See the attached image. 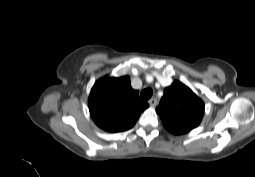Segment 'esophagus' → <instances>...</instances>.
I'll list each match as a JSON object with an SVG mask.
<instances>
[{
    "instance_id": "1",
    "label": "esophagus",
    "mask_w": 255,
    "mask_h": 177,
    "mask_svg": "<svg viewBox=\"0 0 255 177\" xmlns=\"http://www.w3.org/2000/svg\"><path fill=\"white\" fill-rule=\"evenodd\" d=\"M148 103L151 107H155L157 105V100L155 98H152L148 101Z\"/></svg>"
}]
</instances>
